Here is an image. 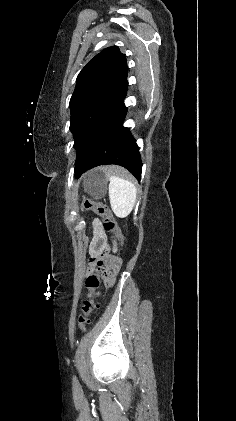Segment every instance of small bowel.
I'll use <instances>...</instances> for the list:
<instances>
[{"label": "small bowel", "instance_id": "c3829d8e", "mask_svg": "<svg viewBox=\"0 0 236 421\" xmlns=\"http://www.w3.org/2000/svg\"><path fill=\"white\" fill-rule=\"evenodd\" d=\"M94 239L90 247V256H98L108 251L107 238L101 221L98 218L93 220Z\"/></svg>", "mask_w": 236, "mask_h": 421}]
</instances>
